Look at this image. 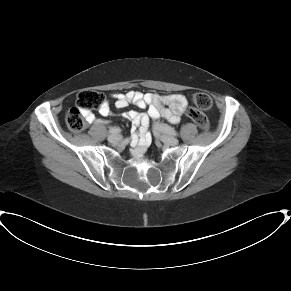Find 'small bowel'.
Returning <instances> with one entry per match:
<instances>
[{
  "label": "small bowel",
  "mask_w": 291,
  "mask_h": 291,
  "mask_svg": "<svg viewBox=\"0 0 291 291\" xmlns=\"http://www.w3.org/2000/svg\"><path fill=\"white\" fill-rule=\"evenodd\" d=\"M117 109H122L129 104H135L138 108H147L145 114L135 110H130L122 114L124 118L132 124L133 136L132 143L135 146L133 155L139 156L146 152L147 144L150 141V134L147 132L149 119L164 117L176 123L180 120L181 114L188 105V98L182 94L157 95L154 93L143 94L140 91H128L126 93H115L111 96ZM85 120L92 124H98L100 119L96 118L90 110H84ZM99 113L108 116L111 113L109 101L104 102Z\"/></svg>",
  "instance_id": "1"
}]
</instances>
